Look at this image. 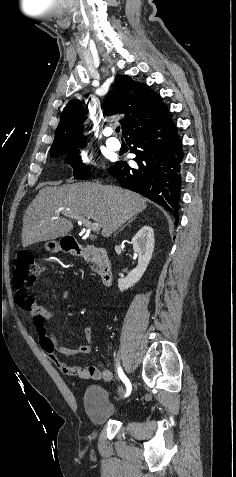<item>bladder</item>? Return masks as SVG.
I'll use <instances>...</instances> for the list:
<instances>
[{"label":"bladder","instance_id":"31cf9c89","mask_svg":"<svg viewBox=\"0 0 236 477\" xmlns=\"http://www.w3.org/2000/svg\"><path fill=\"white\" fill-rule=\"evenodd\" d=\"M83 403L89 420L96 425L105 424L127 413L124 406L113 400L105 388L96 384L85 388Z\"/></svg>","mask_w":236,"mask_h":477}]
</instances>
